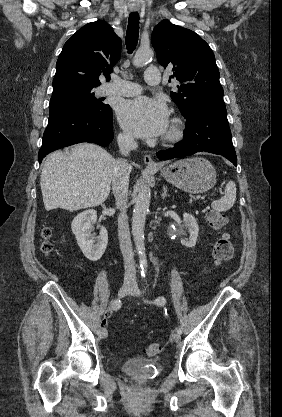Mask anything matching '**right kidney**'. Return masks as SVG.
<instances>
[{
  "label": "right kidney",
  "instance_id": "1",
  "mask_svg": "<svg viewBox=\"0 0 282 417\" xmlns=\"http://www.w3.org/2000/svg\"><path fill=\"white\" fill-rule=\"evenodd\" d=\"M97 221V213L94 209H88L74 217L71 223L72 233H74L78 247H80L84 257L89 261H99L106 251L108 245V233L105 227H100L99 237L92 235V225ZM95 239L98 243L94 245Z\"/></svg>",
  "mask_w": 282,
  "mask_h": 417
}]
</instances>
